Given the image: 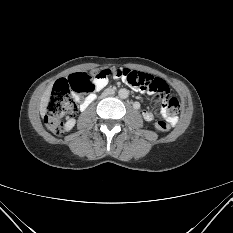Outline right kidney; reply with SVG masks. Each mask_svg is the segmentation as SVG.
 I'll use <instances>...</instances> for the list:
<instances>
[{"label": "right kidney", "instance_id": "ca27d5eb", "mask_svg": "<svg viewBox=\"0 0 233 233\" xmlns=\"http://www.w3.org/2000/svg\"><path fill=\"white\" fill-rule=\"evenodd\" d=\"M75 123H76V120L74 118L69 119L65 124V129L67 131L71 130L74 127Z\"/></svg>", "mask_w": 233, "mask_h": 233}]
</instances>
